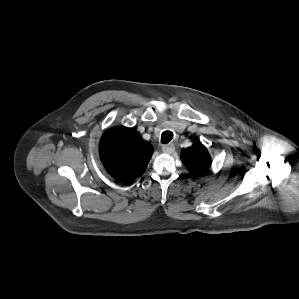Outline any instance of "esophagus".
I'll return each instance as SVG.
<instances>
[{
  "label": "esophagus",
  "instance_id": "esophagus-1",
  "mask_svg": "<svg viewBox=\"0 0 299 299\" xmlns=\"http://www.w3.org/2000/svg\"><path fill=\"white\" fill-rule=\"evenodd\" d=\"M162 151L166 154H172L175 151L173 144H167L162 147Z\"/></svg>",
  "mask_w": 299,
  "mask_h": 299
}]
</instances>
